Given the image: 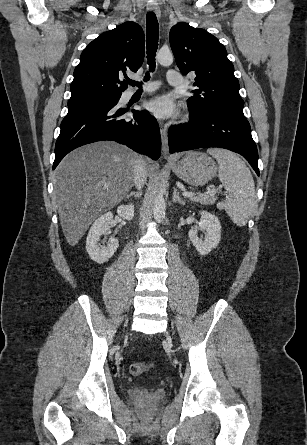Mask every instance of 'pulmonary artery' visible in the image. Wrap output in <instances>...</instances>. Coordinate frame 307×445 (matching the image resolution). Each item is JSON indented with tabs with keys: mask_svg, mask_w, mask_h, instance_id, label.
Segmentation results:
<instances>
[{
	"mask_svg": "<svg viewBox=\"0 0 307 445\" xmlns=\"http://www.w3.org/2000/svg\"><path fill=\"white\" fill-rule=\"evenodd\" d=\"M166 82L167 84H174L176 90H187L189 84L187 82V78L185 75H181L179 69H167L165 72ZM140 89L145 90V93L152 92L153 90L158 89L159 84L156 81L151 82L150 88L147 89L148 84L145 81L140 82Z\"/></svg>",
	"mask_w": 307,
	"mask_h": 445,
	"instance_id": "obj_1",
	"label": "pulmonary artery"
}]
</instances>
